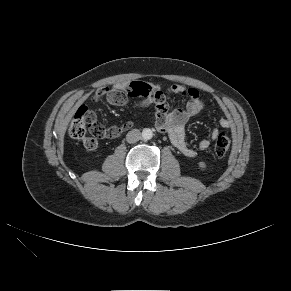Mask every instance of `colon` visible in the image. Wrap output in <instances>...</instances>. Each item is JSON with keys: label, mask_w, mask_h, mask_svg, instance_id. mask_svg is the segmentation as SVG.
<instances>
[{"label": "colon", "mask_w": 291, "mask_h": 291, "mask_svg": "<svg viewBox=\"0 0 291 291\" xmlns=\"http://www.w3.org/2000/svg\"><path fill=\"white\" fill-rule=\"evenodd\" d=\"M129 127V123L119 127H104L97 122L94 112L87 106L82 105L76 111L68 131L72 138L83 140L84 143L90 144L89 141L91 139L112 138L119 135ZM88 134H90L91 137H89ZM230 144V137L226 133H220L214 144V155L216 157H223L229 150Z\"/></svg>", "instance_id": "obj_1"}]
</instances>
